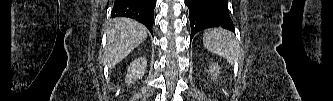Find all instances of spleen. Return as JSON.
<instances>
[{
    "mask_svg": "<svg viewBox=\"0 0 333 101\" xmlns=\"http://www.w3.org/2000/svg\"><path fill=\"white\" fill-rule=\"evenodd\" d=\"M204 47L225 58L234 65L241 58V51L234 35L222 28H214L203 34Z\"/></svg>",
    "mask_w": 333,
    "mask_h": 101,
    "instance_id": "spleen-1",
    "label": "spleen"
}]
</instances>
